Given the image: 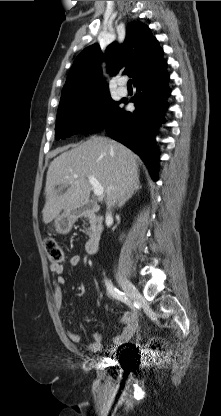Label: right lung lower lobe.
<instances>
[{
    "label": "right lung lower lobe",
    "mask_w": 221,
    "mask_h": 416,
    "mask_svg": "<svg viewBox=\"0 0 221 416\" xmlns=\"http://www.w3.org/2000/svg\"><path fill=\"white\" fill-rule=\"evenodd\" d=\"M169 75L160 70L136 81L138 93L131 100L133 112L120 107L112 114L103 129L108 135L137 153L148 167L152 178L157 180L158 156L154 149L153 134L164 122L162 116L167 110L166 99L170 95ZM126 103V102H120Z\"/></svg>",
    "instance_id": "obj_1"
}]
</instances>
